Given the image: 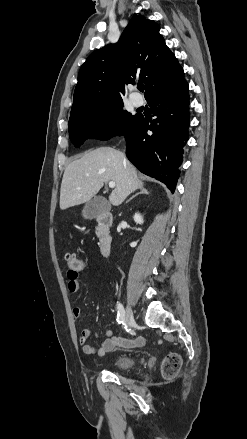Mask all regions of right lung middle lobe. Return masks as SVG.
<instances>
[{
	"label": "right lung middle lobe",
	"instance_id": "dd1d6c3e",
	"mask_svg": "<svg viewBox=\"0 0 247 439\" xmlns=\"http://www.w3.org/2000/svg\"><path fill=\"white\" fill-rule=\"evenodd\" d=\"M138 116L123 110L122 101L85 111L70 117V140L76 147H80L88 138L108 140L123 135Z\"/></svg>",
	"mask_w": 247,
	"mask_h": 439
}]
</instances>
